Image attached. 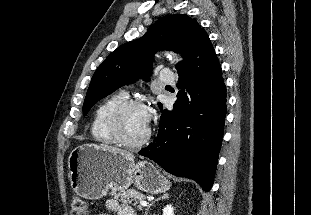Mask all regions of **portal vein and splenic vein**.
<instances>
[{
  "label": "portal vein and splenic vein",
  "mask_w": 311,
  "mask_h": 215,
  "mask_svg": "<svg viewBox=\"0 0 311 215\" xmlns=\"http://www.w3.org/2000/svg\"><path fill=\"white\" fill-rule=\"evenodd\" d=\"M140 204L144 207H146L148 205V202L144 201V200H141L140 201Z\"/></svg>",
  "instance_id": "portal-vein-and-splenic-vein-1"
}]
</instances>
